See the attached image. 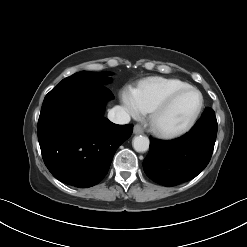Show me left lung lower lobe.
<instances>
[{"mask_svg":"<svg viewBox=\"0 0 247 247\" xmlns=\"http://www.w3.org/2000/svg\"><path fill=\"white\" fill-rule=\"evenodd\" d=\"M217 120L207 107L192 130L171 141L150 137L143 161L147 176L158 184L175 186L196 177L210 161L217 135Z\"/></svg>","mask_w":247,"mask_h":247,"instance_id":"left-lung-lower-lobe-1","label":"left lung lower lobe"}]
</instances>
